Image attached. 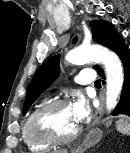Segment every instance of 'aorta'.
I'll list each match as a JSON object with an SVG mask.
<instances>
[{
	"mask_svg": "<svg viewBox=\"0 0 130 153\" xmlns=\"http://www.w3.org/2000/svg\"><path fill=\"white\" fill-rule=\"evenodd\" d=\"M71 64H84L90 61L101 62L107 76L106 109L111 112L117 105L121 93L124 74L121 61L115 53L100 46L77 47L66 55Z\"/></svg>",
	"mask_w": 130,
	"mask_h": 153,
	"instance_id": "1",
	"label": "aorta"
}]
</instances>
